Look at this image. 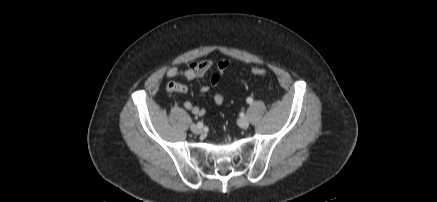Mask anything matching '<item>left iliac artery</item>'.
Masks as SVG:
<instances>
[{
	"label": "left iliac artery",
	"instance_id": "left-iliac-artery-1",
	"mask_svg": "<svg viewBox=\"0 0 437 202\" xmlns=\"http://www.w3.org/2000/svg\"><path fill=\"white\" fill-rule=\"evenodd\" d=\"M246 101H247V103H249V104H252V103H253V99H252L251 97H248Z\"/></svg>",
	"mask_w": 437,
	"mask_h": 202
}]
</instances>
